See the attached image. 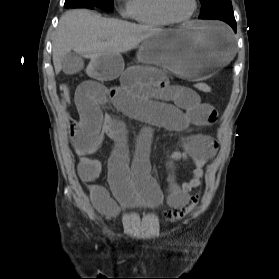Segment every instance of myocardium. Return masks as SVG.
I'll use <instances>...</instances> for the list:
<instances>
[{"mask_svg":"<svg viewBox=\"0 0 279 279\" xmlns=\"http://www.w3.org/2000/svg\"><path fill=\"white\" fill-rule=\"evenodd\" d=\"M157 3H158L159 11L162 14V16L165 19H167L170 23H175V24L185 23L191 20L193 16L196 14L199 6L198 0H193V8L191 12L185 17L176 18L167 10L166 0H157Z\"/></svg>","mask_w":279,"mask_h":279,"instance_id":"obj_1","label":"myocardium"}]
</instances>
